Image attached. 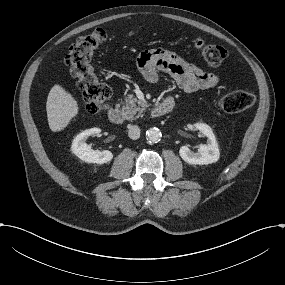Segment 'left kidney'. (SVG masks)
<instances>
[{
  "label": "left kidney",
  "mask_w": 285,
  "mask_h": 285,
  "mask_svg": "<svg viewBox=\"0 0 285 285\" xmlns=\"http://www.w3.org/2000/svg\"><path fill=\"white\" fill-rule=\"evenodd\" d=\"M196 128L208 138V144L201 149V156H194L189 148L183 146L179 150L180 157L190 165H211L217 163L220 158V152L212 129L205 124H197Z\"/></svg>",
  "instance_id": "obj_1"
}]
</instances>
